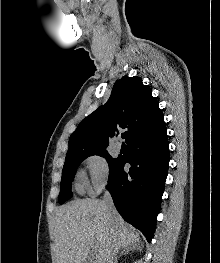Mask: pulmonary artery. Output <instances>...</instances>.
Instances as JSON below:
<instances>
[{"mask_svg":"<svg viewBox=\"0 0 220 263\" xmlns=\"http://www.w3.org/2000/svg\"><path fill=\"white\" fill-rule=\"evenodd\" d=\"M121 147H122L121 142L117 140L116 143H115V148H116L117 150H120Z\"/></svg>","mask_w":220,"mask_h":263,"instance_id":"pulmonary-artery-1","label":"pulmonary artery"}]
</instances>
